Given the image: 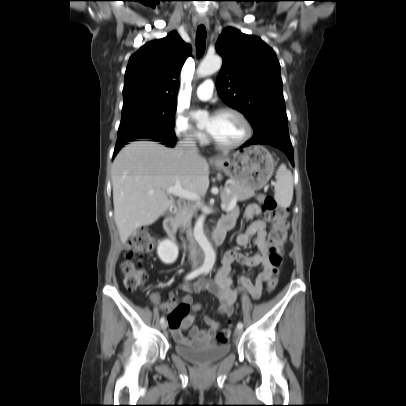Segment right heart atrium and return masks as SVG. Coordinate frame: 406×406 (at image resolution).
Instances as JSON below:
<instances>
[{"mask_svg": "<svg viewBox=\"0 0 406 406\" xmlns=\"http://www.w3.org/2000/svg\"><path fill=\"white\" fill-rule=\"evenodd\" d=\"M174 131L179 138L186 142L204 143L206 140L205 133L194 128L190 124L188 118L182 113H177L175 115Z\"/></svg>", "mask_w": 406, "mask_h": 406, "instance_id": "obj_1", "label": "right heart atrium"}]
</instances>
